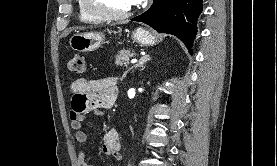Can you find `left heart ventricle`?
<instances>
[{
    "label": "left heart ventricle",
    "instance_id": "1",
    "mask_svg": "<svg viewBox=\"0 0 277 166\" xmlns=\"http://www.w3.org/2000/svg\"><path fill=\"white\" fill-rule=\"evenodd\" d=\"M89 2L95 9L111 14L124 13L134 6L132 0H89Z\"/></svg>",
    "mask_w": 277,
    "mask_h": 166
}]
</instances>
